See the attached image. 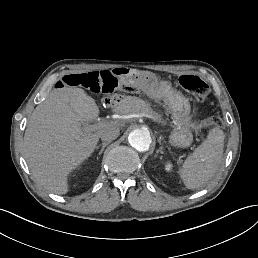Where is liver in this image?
I'll return each instance as SVG.
<instances>
[{"label": "liver", "mask_w": 258, "mask_h": 258, "mask_svg": "<svg viewBox=\"0 0 258 258\" xmlns=\"http://www.w3.org/2000/svg\"><path fill=\"white\" fill-rule=\"evenodd\" d=\"M99 108L82 88L54 89L33 111L24 135V158L48 192L66 194L67 175L93 153L101 132L81 129Z\"/></svg>", "instance_id": "1"}]
</instances>
